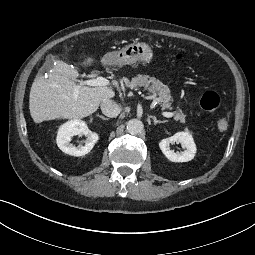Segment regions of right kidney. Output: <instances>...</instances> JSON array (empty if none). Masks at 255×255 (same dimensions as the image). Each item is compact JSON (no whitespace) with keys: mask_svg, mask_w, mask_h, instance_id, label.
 I'll list each match as a JSON object with an SVG mask.
<instances>
[{"mask_svg":"<svg viewBox=\"0 0 255 255\" xmlns=\"http://www.w3.org/2000/svg\"><path fill=\"white\" fill-rule=\"evenodd\" d=\"M76 135H84L86 137L84 145L75 147L70 143L72 137ZM98 138L96 133L88 129L85 122L81 120H71L59 127L56 141L62 152L78 157L88 154L98 141Z\"/></svg>","mask_w":255,"mask_h":255,"instance_id":"right-kidney-1","label":"right kidney"}]
</instances>
